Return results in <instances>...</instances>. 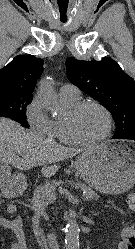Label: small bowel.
Here are the masks:
<instances>
[{
    "mask_svg": "<svg viewBox=\"0 0 135 249\" xmlns=\"http://www.w3.org/2000/svg\"><path fill=\"white\" fill-rule=\"evenodd\" d=\"M1 205L2 203L0 201V206ZM6 210L9 214H14L17 208L14 204H10L7 206ZM0 226L9 229L17 240L11 249H27L22 229V217L20 215L16 216L13 220L0 218Z\"/></svg>",
    "mask_w": 135,
    "mask_h": 249,
    "instance_id": "1",
    "label": "small bowel"
}]
</instances>
